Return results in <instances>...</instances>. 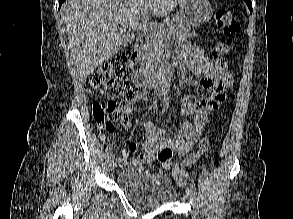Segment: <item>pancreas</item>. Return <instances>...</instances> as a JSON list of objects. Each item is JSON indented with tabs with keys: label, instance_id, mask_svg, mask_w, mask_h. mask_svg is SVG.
<instances>
[{
	"label": "pancreas",
	"instance_id": "cf45deb5",
	"mask_svg": "<svg viewBox=\"0 0 293 219\" xmlns=\"http://www.w3.org/2000/svg\"><path fill=\"white\" fill-rule=\"evenodd\" d=\"M167 34L190 38L195 36L190 26L178 15L166 18L163 25L147 31L142 48V57L145 65L157 66L164 57V40Z\"/></svg>",
	"mask_w": 293,
	"mask_h": 219
}]
</instances>
